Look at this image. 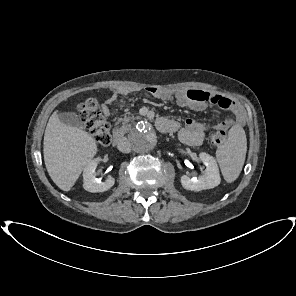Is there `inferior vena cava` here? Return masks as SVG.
I'll list each match as a JSON object with an SVG mask.
<instances>
[{
	"label": "inferior vena cava",
	"mask_w": 296,
	"mask_h": 296,
	"mask_svg": "<svg viewBox=\"0 0 296 296\" xmlns=\"http://www.w3.org/2000/svg\"><path fill=\"white\" fill-rule=\"evenodd\" d=\"M118 149L121 152L129 153L131 151V144L129 140L127 138H123L118 144Z\"/></svg>",
	"instance_id": "inferior-vena-cava-1"
}]
</instances>
